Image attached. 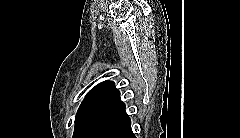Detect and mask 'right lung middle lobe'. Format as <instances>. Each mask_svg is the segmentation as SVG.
<instances>
[{
  "instance_id": "right-lung-middle-lobe-1",
  "label": "right lung middle lobe",
  "mask_w": 240,
  "mask_h": 138,
  "mask_svg": "<svg viewBox=\"0 0 240 138\" xmlns=\"http://www.w3.org/2000/svg\"><path fill=\"white\" fill-rule=\"evenodd\" d=\"M108 116L105 114H83L75 118L73 138H87L88 134Z\"/></svg>"
}]
</instances>
